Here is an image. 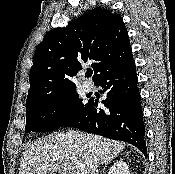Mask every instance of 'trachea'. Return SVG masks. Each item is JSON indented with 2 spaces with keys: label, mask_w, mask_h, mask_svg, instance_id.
Instances as JSON below:
<instances>
[{
  "label": "trachea",
  "mask_w": 175,
  "mask_h": 174,
  "mask_svg": "<svg viewBox=\"0 0 175 174\" xmlns=\"http://www.w3.org/2000/svg\"><path fill=\"white\" fill-rule=\"evenodd\" d=\"M92 74H93V71H92V70H89V71H87V73H86V75H87L88 77L92 76Z\"/></svg>",
  "instance_id": "1"
}]
</instances>
